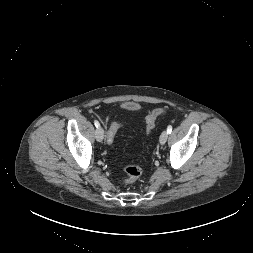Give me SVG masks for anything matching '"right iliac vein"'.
Listing matches in <instances>:
<instances>
[{
  "mask_svg": "<svg viewBox=\"0 0 253 253\" xmlns=\"http://www.w3.org/2000/svg\"><path fill=\"white\" fill-rule=\"evenodd\" d=\"M95 137H96V140L98 142H102L103 138H104V130L102 127H99L95 133Z\"/></svg>",
  "mask_w": 253,
  "mask_h": 253,
  "instance_id": "63e3f726",
  "label": "right iliac vein"
}]
</instances>
